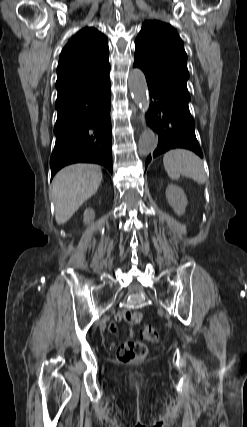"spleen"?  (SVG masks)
I'll use <instances>...</instances> for the list:
<instances>
[{
  "label": "spleen",
  "mask_w": 247,
  "mask_h": 427,
  "mask_svg": "<svg viewBox=\"0 0 247 427\" xmlns=\"http://www.w3.org/2000/svg\"><path fill=\"white\" fill-rule=\"evenodd\" d=\"M163 164L168 176L173 180L183 175L192 178L198 184L206 182L202 160L189 150L174 149L166 152Z\"/></svg>",
  "instance_id": "1"
}]
</instances>
